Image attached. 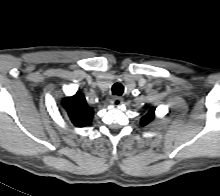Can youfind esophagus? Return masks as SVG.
Masks as SVG:
<instances>
[{
	"label": "esophagus",
	"mask_w": 220,
	"mask_h": 196,
	"mask_svg": "<svg viewBox=\"0 0 220 196\" xmlns=\"http://www.w3.org/2000/svg\"><path fill=\"white\" fill-rule=\"evenodd\" d=\"M122 102H123V99L120 98V97H114V98H112L111 101H110V103H111L112 105H114V106H119V105L122 104Z\"/></svg>",
	"instance_id": "esophagus-1"
}]
</instances>
